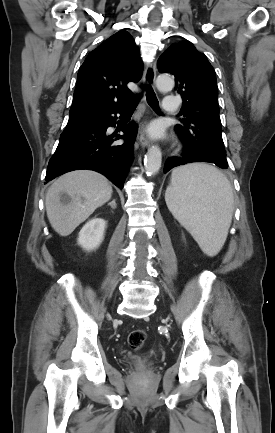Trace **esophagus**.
<instances>
[{
    "label": "esophagus",
    "mask_w": 275,
    "mask_h": 433,
    "mask_svg": "<svg viewBox=\"0 0 275 433\" xmlns=\"http://www.w3.org/2000/svg\"><path fill=\"white\" fill-rule=\"evenodd\" d=\"M156 62L153 61L149 63L144 71L143 74V82L146 87H154L155 85V79H156ZM146 98V93H144V100ZM138 142L142 147H147L150 145V139L148 137V134L146 132V125L143 123L140 127L139 133H138Z\"/></svg>",
    "instance_id": "34e87169"
}]
</instances>
